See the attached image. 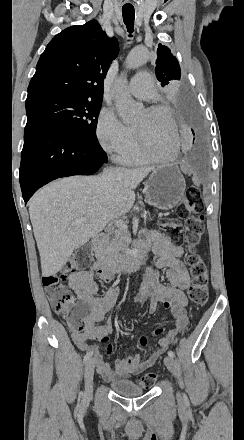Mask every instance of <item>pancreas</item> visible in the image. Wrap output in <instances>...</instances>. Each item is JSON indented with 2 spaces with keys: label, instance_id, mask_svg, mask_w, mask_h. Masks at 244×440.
Listing matches in <instances>:
<instances>
[{
  "label": "pancreas",
  "instance_id": "obj_1",
  "mask_svg": "<svg viewBox=\"0 0 244 440\" xmlns=\"http://www.w3.org/2000/svg\"><path fill=\"white\" fill-rule=\"evenodd\" d=\"M131 244V234L128 230H115L106 234L105 240H101L96 246L95 258L105 264H116L123 262V252L129 250Z\"/></svg>",
  "mask_w": 244,
  "mask_h": 440
}]
</instances>
